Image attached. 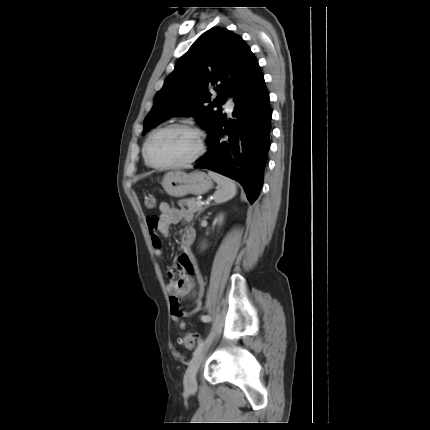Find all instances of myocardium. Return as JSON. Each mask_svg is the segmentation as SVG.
<instances>
[{"label":"myocardium","instance_id":"obj_1","mask_svg":"<svg viewBox=\"0 0 430 430\" xmlns=\"http://www.w3.org/2000/svg\"><path fill=\"white\" fill-rule=\"evenodd\" d=\"M174 128L186 129V130H189V131H191L197 135L198 149H197L196 153L192 157H190L184 161L178 162V163L158 164V163L154 162L152 160V158L150 157V152H149L151 142L153 141V139L156 136H158L162 132H165L167 130L174 129ZM205 151H206V136H205L204 132L199 127H197L191 123H188V122H174V123L167 124L161 128H158L153 133H151L145 142L143 152H144L145 160L147 161V163L150 166H152L156 169H160V170H169V169H177V168L186 167L188 165L195 163L204 155Z\"/></svg>","mask_w":430,"mask_h":430}]
</instances>
